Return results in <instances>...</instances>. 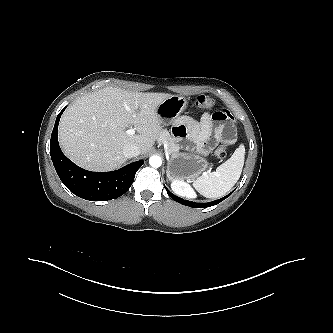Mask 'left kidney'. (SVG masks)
<instances>
[{
  "mask_svg": "<svg viewBox=\"0 0 333 333\" xmlns=\"http://www.w3.org/2000/svg\"><path fill=\"white\" fill-rule=\"evenodd\" d=\"M171 188L176 194H178L180 196H184V197H188V198L196 197V194L193 191V189L185 182H182L179 180H173L171 183Z\"/></svg>",
  "mask_w": 333,
  "mask_h": 333,
  "instance_id": "5707ae66",
  "label": "left kidney"
}]
</instances>
